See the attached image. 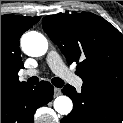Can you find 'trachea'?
<instances>
[{"mask_svg":"<svg viewBox=\"0 0 123 123\" xmlns=\"http://www.w3.org/2000/svg\"><path fill=\"white\" fill-rule=\"evenodd\" d=\"M51 82L54 86L59 87V88H61L64 85L63 80H61L60 78H53ZM28 83L31 85H37L39 83V79L38 77L33 76L28 79Z\"/></svg>","mask_w":123,"mask_h":123,"instance_id":"obj_1","label":"trachea"}]
</instances>
